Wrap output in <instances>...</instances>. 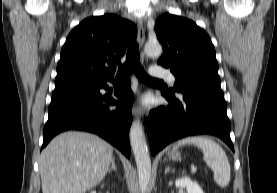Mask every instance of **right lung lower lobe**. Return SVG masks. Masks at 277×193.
Returning <instances> with one entry per match:
<instances>
[{
    "label": "right lung lower lobe",
    "instance_id": "right-lung-lower-lobe-1",
    "mask_svg": "<svg viewBox=\"0 0 277 193\" xmlns=\"http://www.w3.org/2000/svg\"><path fill=\"white\" fill-rule=\"evenodd\" d=\"M112 81V80H111ZM106 82L90 86L55 89L49 105L48 121L43 131V145L60 132L82 130L95 133L130 157L129 129L132 122L130 80L115 91L119 102L101 96ZM122 103L124 106H122ZM110 105H117L111 109Z\"/></svg>",
    "mask_w": 277,
    "mask_h": 193
}]
</instances>
